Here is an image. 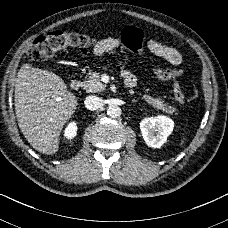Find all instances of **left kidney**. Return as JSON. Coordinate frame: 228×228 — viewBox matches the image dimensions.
<instances>
[{
    "label": "left kidney",
    "mask_w": 228,
    "mask_h": 228,
    "mask_svg": "<svg viewBox=\"0 0 228 228\" xmlns=\"http://www.w3.org/2000/svg\"><path fill=\"white\" fill-rule=\"evenodd\" d=\"M174 121L167 116L145 118L140 122V130L149 147L160 148L172 133Z\"/></svg>",
    "instance_id": "left-kidney-1"
}]
</instances>
